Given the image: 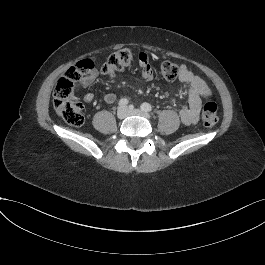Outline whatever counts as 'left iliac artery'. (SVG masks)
<instances>
[{"label": "left iliac artery", "mask_w": 265, "mask_h": 265, "mask_svg": "<svg viewBox=\"0 0 265 265\" xmlns=\"http://www.w3.org/2000/svg\"><path fill=\"white\" fill-rule=\"evenodd\" d=\"M141 110H143L145 112H150V111H152V106L149 103H143L141 105Z\"/></svg>", "instance_id": "left-iliac-artery-1"}]
</instances>
